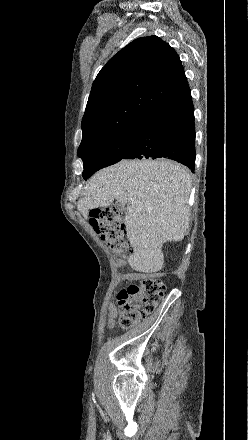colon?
<instances>
[{
    "instance_id": "colon-1",
    "label": "colon",
    "mask_w": 248,
    "mask_h": 440,
    "mask_svg": "<svg viewBox=\"0 0 248 440\" xmlns=\"http://www.w3.org/2000/svg\"><path fill=\"white\" fill-rule=\"evenodd\" d=\"M89 223L101 235L117 255L125 254L129 245L125 240V226L122 214L114 208L94 209ZM165 284L158 278L147 277L139 284L130 285L117 295L119 324L128 329L151 315L165 292Z\"/></svg>"
}]
</instances>
